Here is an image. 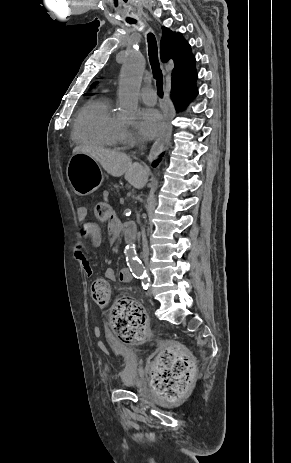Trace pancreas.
Masks as SVG:
<instances>
[{
    "label": "pancreas",
    "mask_w": 291,
    "mask_h": 463,
    "mask_svg": "<svg viewBox=\"0 0 291 463\" xmlns=\"http://www.w3.org/2000/svg\"><path fill=\"white\" fill-rule=\"evenodd\" d=\"M108 191L114 194L115 196H120L121 187L116 183H111L109 185Z\"/></svg>",
    "instance_id": "cf45deb5"
}]
</instances>
